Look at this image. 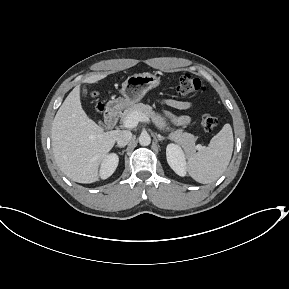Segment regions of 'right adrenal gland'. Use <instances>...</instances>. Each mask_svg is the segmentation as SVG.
<instances>
[{"label": "right adrenal gland", "mask_w": 289, "mask_h": 289, "mask_svg": "<svg viewBox=\"0 0 289 289\" xmlns=\"http://www.w3.org/2000/svg\"><path fill=\"white\" fill-rule=\"evenodd\" d=\"M115 147H117V148H124L123 146H119V145H116Z\"/></svg>", "instance_id": "right-adrenal-gland-1"}]
</instances>
